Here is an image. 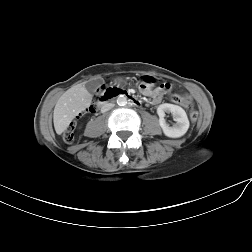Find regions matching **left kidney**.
Returning a JSON list of instances; mask_svg holds the SVG:
<instances>
[{
  "mask_svg": "<svg viewBox=\"0 0 252 252\" xmlns=\"http://www.w3.org/2000/svg\"><path fill=\"white\" fill-rule=\"evenodd\" d=\"M165 113H171L177 124L170 127L164 119ZM157 114L159 116V124L166 136L178 138L187 132L189 128V120L185 110L180 106L169 103L161 104L157 108Z\"/></svg>",
  "mask_w": 252,
  "mask_h": 252,
  "instance_id": "obj_1",
  "label": "left kidney"
}]
</instances>
